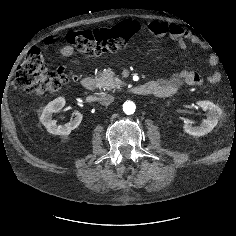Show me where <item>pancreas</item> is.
<instances>
[{"mask_svg":"<svg viewBox=\"0 0 236 236\" xmlns=\"http://www.w3.org/2000/svg\"><path fill=\"white\" fill-rule=\"evenodd\" d=\"M96 79L99 83V87L106 90H112L124 85L119 77L115 76V73L111 69L102 71L98 76H96Z\"/></svg>","mask_w":236,"mask_h":236,"instance_id":"1","label":"pancreas"}]
</instances>
